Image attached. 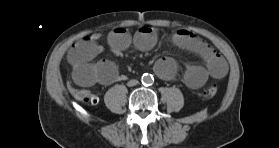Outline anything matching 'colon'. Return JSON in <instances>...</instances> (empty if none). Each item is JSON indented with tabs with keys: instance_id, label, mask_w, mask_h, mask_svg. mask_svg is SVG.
<instances>
[{
	"instance_id": "obj_1",
	"label": "colon",
	"mask_w": 279,
	"mask_h": 148,
	"mask_svg": "<svg viewBox=\"0 0 279 148\" xmlns=\"http://www.w3.org/2000/svg\"><path fill=\"white\" fill-rule=\"evenodd\" d=\"M75 96L86 103L95 104L98 102V97L88 90H75ZM217 94V87L211 84L205 87L201 92L200 96L205 99H211Z\"/></svg>"
}]
</instances>
